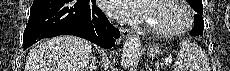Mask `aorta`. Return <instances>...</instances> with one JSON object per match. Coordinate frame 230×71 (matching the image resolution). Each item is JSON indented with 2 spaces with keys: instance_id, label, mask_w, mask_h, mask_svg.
Segmentation results:
<instances>
[{
  "instance_id": "1",
  "label": "aorta",
  "mask_w": 230,
  "mask_h": 71,
  "mask_svg": "<svg viewBox=\"0 0 230 71\" xmlns=\"http://www.w3.org/2000/svg\"><path fill=\"white\" fill-rule=\"evenodd\" d=\"M141 38L138 35H131L125 41L122 55L121 65L126 69H133L137 66L141 55Z\"/></svg>"
}]
</instances>
